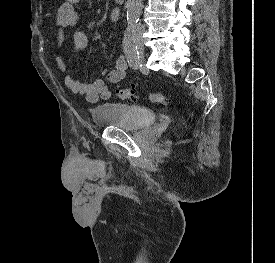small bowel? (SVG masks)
<instances>
[{"label":"small bowel","mask_w":275,"mask_h":263,"mask_svg":"<svg viewBox=\"0 0 275 263\" xmlns=\"http://www.w3.org/2000/svg\"><path fill=\"white\" fill-rule=\"evenodd\" d=\"M80 0H66L57 10V49L55 60L61 72L66 71V63L62 57L61 49L65 40V30L76 25L78 14L75 6ZM109 19L117 22L120 19V10L114 8L109 13ZM88 45V36L82 30H76L72 36L71 47L74 51H81ZM128 64L123 56L115 61L113 69L104 71V78L95 79L92 83L86 84L68 74L65 77V84L73 93L84 96L90 103H97L99 100L107 101L111 97L109 84L121 82L127 75Z\"/></svg>","instance_id":"1"}]
</instances>
